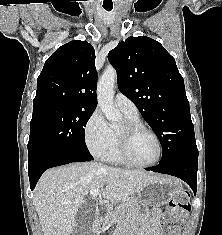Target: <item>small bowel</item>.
<instances>
[{
	"instance_id": "small-bowel-1",
	"label": "small bowel",
	"mask_w": 222,
	"mask_h": 235,
	"mask_svg": "<svg viewBox=\"0 0 222 235\" xmlns=\"http://www.w3.org/2000/svg\"><path fill=\"white\" fill-rule=\"evenodd\" d=\"M159 211L154 210L146 223L144 231L140 235H158Z\"/></svg>"
}]
</instances>
